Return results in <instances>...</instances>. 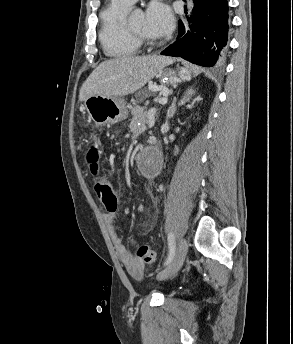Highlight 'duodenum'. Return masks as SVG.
Segmentation results:
<instances>
[{
    "label": "duodenum",
    "instance_id": "1",
    "mask_svg": "<svg viewBox=\"0 0 293 344\" xmlns=\"http://www.w3.org/2000/svg\"><path fill=\"white\" fill-rule=\"evenodd\" d=\"M154 143H155V142H154ZM135 158H136V164H137V166H141V165H142V159H143L142 153H140V152L137 153L136 156H135ZM157 164H158V167H161L162 164H163V160H162V157L160 156V154H159V156H158Z\"/></svg>",
    "mask_w": 293,
    "mask_h": 344
}]
</instances>
